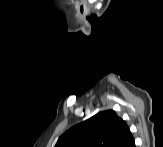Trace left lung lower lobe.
I'll return each mask as SVG.
<instances>
[{"mask_svg":"<svg viewBox=\"0 0 163 147\" xmlns=\"http://www.w3.org/2000/svg\"><path fill=\"white\" fill-rule=\"evenodd\" d=\"M115 147H135V142L129 127L125 129Z\"/></svg>","mask_w":163,"mask_h":147,"instance_id":"obj_1","label":"left lung lower lobe"}]
</instances>
